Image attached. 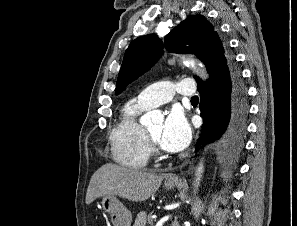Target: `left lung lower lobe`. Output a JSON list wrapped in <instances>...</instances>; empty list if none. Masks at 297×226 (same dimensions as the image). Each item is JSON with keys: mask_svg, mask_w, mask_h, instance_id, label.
<instances>
[{"mask_svg": "<svg viewBox=\"0 0 297 226\" xmlns=\"http://www.w3.org/2000/svg\"><path fill=\"white\" fill-rule=\"evenodd\" d=\"M198 91L204 141L221 137L227 156L236 157L243 149L248 103L234 60L231 59L228 69L209 78L208 82L198 81Z\"/></svg>", "mask_w": 297, "mask_h": 226, "instance_id": "0a47b994", "label": "left lung lower lobe"}]
</instances>
